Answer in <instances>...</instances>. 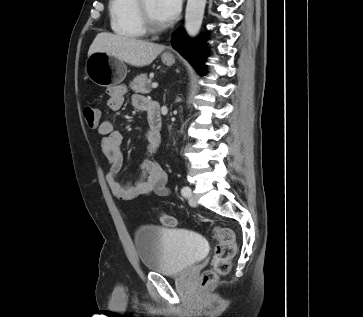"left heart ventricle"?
<instances>
[{"label":"left heart ventricle","instance_id":"left-heart-ventricle-1","mask_svg":"<svg viewBox=\"0 0 363 317\" xmlns=\"http://www.w3.org/2000/svg\"><path fill=\"white\" fill-rule=\"evenodd\" d=\"M145 7L153 21L159 25H163V22L157 13V1L145 0Z\"/></svg>","mask_w":363,"mask_h":317}]
</instances>
